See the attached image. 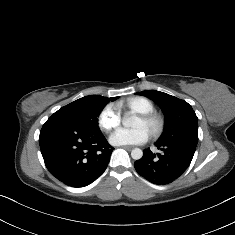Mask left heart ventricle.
<instances>
[{
    "label": "left heart ventricle",
    "mask_w": 235,
    "mask_h": 235,
    "mask_svg": "<svg viewBox=\"0 0 235 235\" xmlns=\"http://www.w3.org/2000/svg\"><path fill=\"white\" fill-rule=\"evenodd\" d=\"M143 127L146 129L144 123L142 122V120L138 117L137 120L134 123V128H140Z\"/></svg>",
    "instance_id": "left-heart-ventricle-1"
}]
</instances>
